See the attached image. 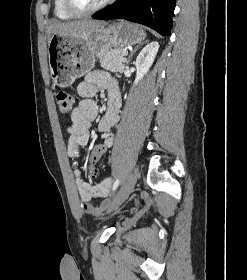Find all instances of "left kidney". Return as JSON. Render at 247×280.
I'll list each match as a JSON object with an SVG mask.
<instances>
[{
	"mask_svg": "<svg viewBox=\"0 0 247 280\" xmlns=\"http://www.w3.org/2000/svg\"><path fill=\"white\" fill-rule=\"evenodd\" d=\"M158 49H159V43L154 41L146 45L137 56V59L135 61V66L137 69V74L134 81L135 85L149 71V68L152 66L154 62Z\"/></svg>",
	"mask_w": 247,
	"mask_h": 280,
	"instance_id": "1",
	"label": "left kidney"
}]
</instances>
